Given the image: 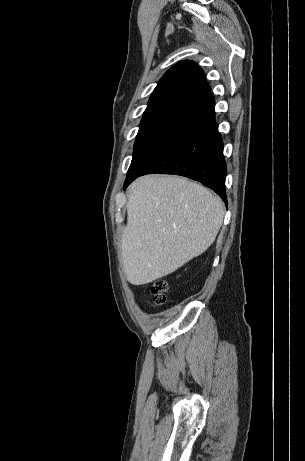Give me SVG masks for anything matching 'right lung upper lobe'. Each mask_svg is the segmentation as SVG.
<instances>
[{
	"label": "right lung upper lobe",
	"instance_id": "1",
	"mask_svg": "<svg viewBox=\"0 0 305 461\" xmlns=\"http://www.w3.org/2000/svg\"><path fill=\"white\" fill-rule=\"evenodd\" d=\"M203 70L193 61H181L170 68L154 89L147 108L193 107L210 96Z\"/></svg>",
	"mask_w": 305,
	"mask_h": 461
}]
</instances>
